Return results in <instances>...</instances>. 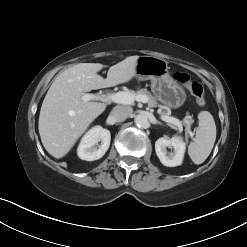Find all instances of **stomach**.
Returning <instances> with one entry per match:
<instances>
[{
    "label": "stomach",
    "instance_id": "0dacf381",
    "mask_svg": "<svg viewBox=\"0 0 247 247\" xmlns=\"http://www.w3.org/2000/svg\"><path fill=\"white\" fill-rule=\"evenodd\" d=\"M135 76L140 81H151L154 98L166 108L176 109L185 103L186 92L169 74L166 60L156 56H140Z\"/></svg>",
    "mask_w": 247,
    "mask_h": 247
}]
</instances>
